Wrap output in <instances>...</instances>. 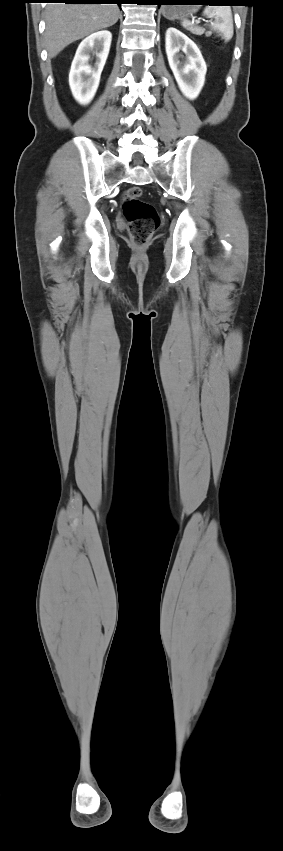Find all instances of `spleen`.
I'll list each match as a JSON object with an SVG mask.
<instances>
[{
  "label": "spleen",
  "instance_id": "3e777b00",
  "mask_svg": "<svg viewBox=\"0 0 283 851\" xmlns=\"http://www.w3.org/2000/svg\"><path fill=\"white\" fill-rule=\"evenodd\" d=\"M204 15L215 19V21L211 24V29L220 33L225 41H229L232 38L234 29L233 16L230 7H206ZM181 24L188 30H196L193 24L188 20H184Z\"/></svg>",
  "mask_w": 283,
  "mask_h": 851
}]
</instances>
